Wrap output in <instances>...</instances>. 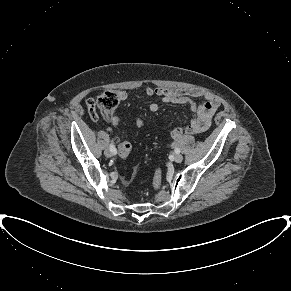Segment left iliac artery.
Segmentation results:
<instances>
[{
    "mask_svg": "<svg viewBox=\"0 0 291 291\" xmlns=\"http://www.w3.org/2000/svg\"><path fill=\"white\" fill-rule=\"evenodd\" d=\"M174 151H175V153H177V154L180 153V149H179V148H175Z\"/></svg>",
    "mask_w": 291,
    "mask_h": 291,
    "instance_id": "obj_1",
    "label": "left iliac artery"
}]
</instances>
